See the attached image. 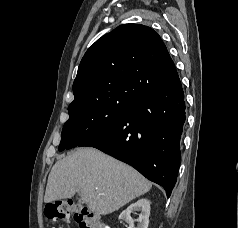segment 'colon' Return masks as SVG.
Listing matches in <instances>:
<instances>
[{"instance_id": "colon-1", "label": "colon", "mask_w": 238, "mask_h": 228, "mask_svg": "<svg viewBox=\"0 0 238 228\" xmlns=\"http://www.w3.org/2000/svg\"><path fill=\"white\" fill-rule=\"evenodd\" d=\"M45 215L52 222L73 220L79 228H109L99 215L71 200L56 201L47 205Z\"/></svg>"}]
</instances>
